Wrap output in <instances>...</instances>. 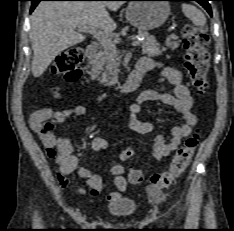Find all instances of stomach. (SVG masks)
Here are the masks:
<instances>
[{
    "instance_id": "stomach-1",
    "label": "stomach",
    "mask_w": 234,
    "mask_h": 231,
    "mask_svg": "<svg viewBox=\"0 0 234 231\" xmlns=\"http://www.w3.org/2000/svg\"><path fill=\"white\" fill-rule=\"evenodd\" d=\"M170 14L169 2L163 0H139L128 4L126 19L140 31L160 27Z\"/></svg>"
}]
</instances>
